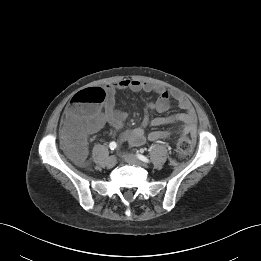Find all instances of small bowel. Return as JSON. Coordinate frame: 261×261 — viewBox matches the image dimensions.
<instances>
[{
	"label": "small bowel",
	"instance_id": "1",
	"mask_svg": "<svg viewBox=\"0 0 261 261\" xmlns=\"http://www.w3.org/2000/svg\"><path fill=\"white\" fill-rule=\"evenodd\" d=\"M131 90L133 92H154L158 95L155 102L148 103L146 106V114L141 126L124 131L121 138L126 140L133 146H141L148 139L150 141H158L170 136L171 132L167 130H154L147 136L145 129L148 126H164L175 122H180L178 133L190 134L195 137L197 133L196 119L193 108L189 100L180 92L160 85H154L150 82L140 80L122 79L116 83L110 84L106 88V98L101 109H97L88 120V132L94 133L104 127L106 124L112 126L116 130H120L126 115L115 106V93L118 91ZM175 100L178 107L182 110L172 116L151 117L150 113L156 111L158 113L168 112L172 105L171 101Z\"/></svg>",
	"mask_w": 261,
	"mask_h": 261
}]
</instances>
